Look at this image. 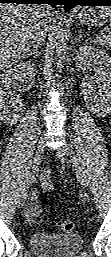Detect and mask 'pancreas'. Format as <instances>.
Listing matches in <instances>:
<instances>
[{
    "instance_id": "cf45deb5",
    "label": "pancreas",
    "mask_w": 111,
    "mask_h": 257,
    "mask_svg": "<svg viewBox=\"0 0 111 257\" xmlns=\"http://www.w3.org/2000/svg\"><path fill=\"white\" fill-rule=\"evenodd\" d=\"M93 42L102 46H107L111 49V36H98L93 39Z\"/></svg>"
}]
</instances>
